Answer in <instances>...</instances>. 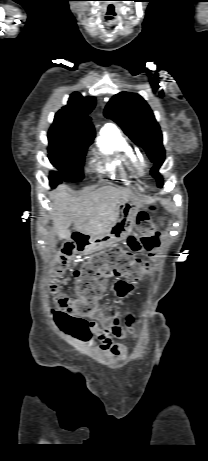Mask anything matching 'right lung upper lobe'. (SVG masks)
I'll return each mask as SVG.
<instances>
[{
    "instance_id": "cb5924a9",
    "label": "right lung upper lobe",
    "mask_w": 208,
    "mask_h": 461,
    "mask_svg": "<svg viewBox=\"0 0 208 461\" xmlns=\"http://www.w3.org/2000/svg\"><path fill=\"white\" fill-rule=\"evenodd\" d=\"M94 107V97H83L78 92L72 93L68 104L55 114L50 130L73 137L95 135L91 118L88 116Z\"/></svg>"
}]
</instances>
